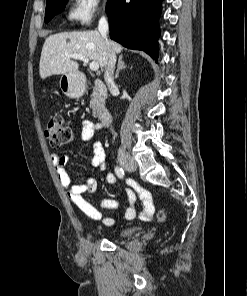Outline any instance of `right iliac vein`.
I'll return each instance as SVG.
<instances>
[{
    "label": "right iliac vein",
    "mask_w": 247,
    "mask_h": 296,
    "mask_svg": "<svg viewBox=\"0 0 247 296\" xmlns=\"http://www.w3.org/2000/svg\"><path fill=\"white\" fill-rule=\"evenodd\" d=\"M119 162L128 171H135L137 168L135 161L129 156H126V155L120 156Z\"/></svg>",
    "instance_id": "obj_1"
}]
</instances>
